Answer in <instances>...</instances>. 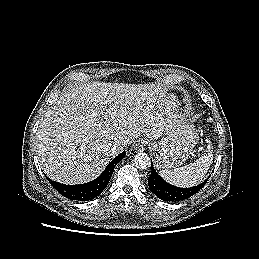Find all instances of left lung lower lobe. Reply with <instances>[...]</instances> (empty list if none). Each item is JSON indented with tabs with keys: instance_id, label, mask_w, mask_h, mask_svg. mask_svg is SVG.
<instances>
[{
	"instance_id": "obj_1",
	"label": "left lung lower lobe",
	"mask_w": 259,
	"mask_h": 259,
	"mask_svg": "<svg viewBox=\"0 0 259 259\" xmlns=\"http://www.w3.org/2000/svg\"><path fill=\"white\" fill-rule=\"evenodd\" d=\"M207 180L203 183L191 187V188H180L175 187L166 181H164L155 169L152 166L151 175L148 179L149 189L154 193L158 198L164 201H180L187 199L198 191L202 189V187L206 184Z\"/></svg>"
}]
</instances>
